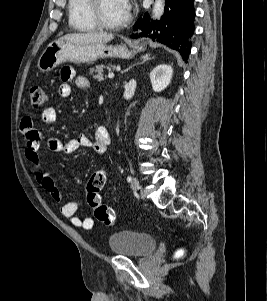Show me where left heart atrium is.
I'll return each mask as SVG.
<instances>
[{
    "label": "left heart atrium",
    "instance_id": "39dd6f15",
    "mask_svg": "<svg viewBox=\"0 0 267 301\" xmlns=\"http://www.w3.org/2000/svg\"><path fill=\"white\" fill-rule=\"evenodd\" d=\"M125 2L126 7L128 8L127 0H123Z\"/></svg>",
    "mask_w": 267,
    "mask_h": 301
}]
</instances>
